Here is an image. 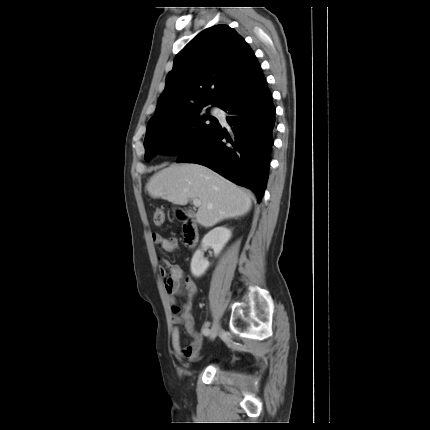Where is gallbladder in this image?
Returning a JSON list of instances; mask_svg holds the SVG:
<instances>
[{
  "instance_id": "gallbladder-1",
  "label": "gallbladder",
  "mask_w": 430,
  "mask_h": 430,
  "mask_svg": "<svg viewBox=\"0 0 430 430\" xmlns=\"http://www.w3.org/2000/svg\"><path fill=\"white\" fill-rule=\"evenodd\" d=\"M185 215L190 217L193 213L190 210H185Z\"/></svg>"
}]
</instances>
